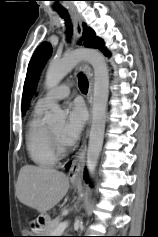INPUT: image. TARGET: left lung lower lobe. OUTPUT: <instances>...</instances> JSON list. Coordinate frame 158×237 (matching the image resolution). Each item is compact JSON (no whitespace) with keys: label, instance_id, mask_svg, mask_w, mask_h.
I'll return each mask as SVG.
<instances>
[{"label":"left lung lower lobe","instance_id":"1","mask_svg":"<svg viewBox=\"0 0 158 237\" xmlns=\"http://www.w3.org/2000/svg\"><path fill=\"white\" fill-rule=\"evenodd\" d=\"M70 166V163H68L67 165H66V167L68 168ZM85 180H86V174H85Z\"/></svg>","mask_w":158,"mask_h":237}]
</instances>
